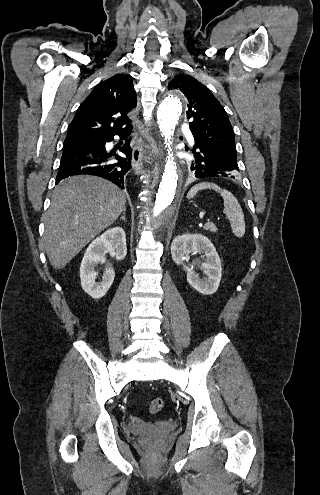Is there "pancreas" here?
Masks as SVG:
<instances>
[{"mask_svg":"<svg viewBox=\"0 0 320 495\" xmlns=\"http://www.w3.org/2000/svg\"><path fill=\"white\" fill-rule=\"evenodd\" d=\"M204 230H209L211 232H217V227L213 224V223H207L206 225H204Z\"/></svg>","mask_w":320,"mask_h":495,"instance_id":"pancreas-1","label":"pancreas"}]
</instances>
